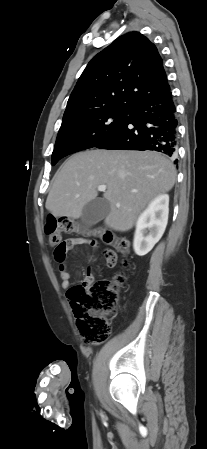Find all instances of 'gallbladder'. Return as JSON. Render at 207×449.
<instances>
[{
  "label": "gallbladder",
  "mask_w": 207,
  "mask_h": 449,
  "mask_svg": "<svg viewBox=\"0 0 207 449\" xmlns=\"http://www.w3.org/2000/svg\"><path fill=\"white\" fill-rule=\"evenodd\" d=\"M109 212V202L104 198H95L84 206L81 222L85 227H91L103 220Z\"/></svg>",
  "instance_id": "obj_1"
}]
</instances>
